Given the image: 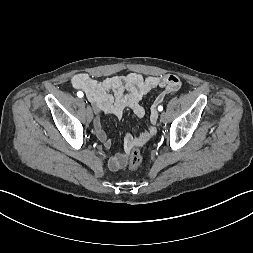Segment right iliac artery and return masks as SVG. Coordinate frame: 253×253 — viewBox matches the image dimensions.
<instances>
[{"label": "right iliac artery", "mask_w": 253, "mask_h": 253, "mask_svg": "<svg viewBox=\"0 0 253 253\" xmlns=\"http://www.w3.org/2000/svg\"><path fill=\"white\" fill-rule=\"evenodd\" d=\"M77 96H78V97H83L84 94H83V92L79 91V92H77Z\"/></svg>", "instance_id": "obj_1"}]
</instances>
